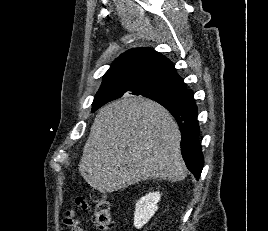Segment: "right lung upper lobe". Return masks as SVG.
<instances>
[{"label":"right lung upper lobe","mask_w":268,"mask_h":231,"mask_svg":"<svg viewBox=\"0 0 268 231\" xmlns=\"http://www.w3.org/2000/svg\"><path fill=\"white\" fill-rule=\"evenodd\" d=\"M154 81L173 86L186 92L183 79L177 74L173 63L162 54L150 48H134L121 54L105 73L103 83L97 92L94 102L105 104L120 98L123 94L99 101L101 93L107 88H125L142 82ZM127 90V91H128ZM161 105H175L168 101H159Z\"/></svg>","instance_id":"1"}]
</instances>
